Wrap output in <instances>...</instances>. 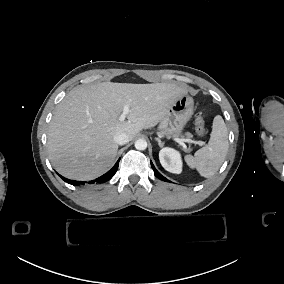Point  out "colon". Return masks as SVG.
Listing matches in <instances>:
<instances>
[{"label":"colon","mask_w":284,"mask_h":284,"mask_svg":"<svg viewBox=\"0 0 284 284\" xmlns=\"http://www.w3.org/2000/svg\"><path fill=\"white\" fill-rule=\"evenodd\" d=\"M195 130L199 136H203L205 134V123L202 116V113H198L195 118Z\"/></svg>","instance_id":"obj_1"}]
</instances>
